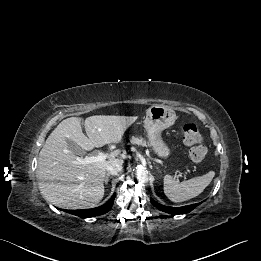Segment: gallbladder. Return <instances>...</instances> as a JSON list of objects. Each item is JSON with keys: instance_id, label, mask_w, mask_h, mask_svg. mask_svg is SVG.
<instances>
[{"instance_id": "gallbladder-1", "label": "gallbladder", "mask_w": 261, "mask_h": 261, "mask_svg": "<svg viewBox=\"0 0 261 261\" xmlns=\"http://www.w3.org/2000/svg\"><path fill=\"white\" fill-rule=\"evenodd\" d=\"M67 143L69 145L70 150L74 153V154H81L82 150L80 147H78L73 141L71 140H67Z\"/></svg>"}]
</instances>
